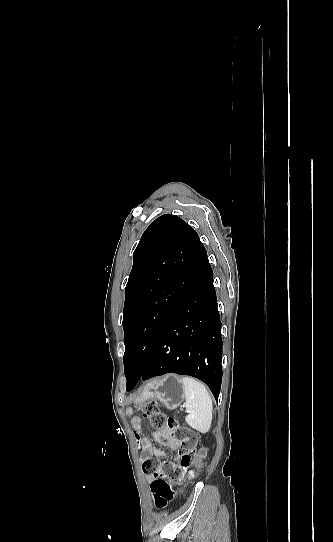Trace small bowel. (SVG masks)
Wrapping results in <instances>:
<instances>
[{
  "instance_id": "small-bowel-1",
  "label": "small bowel",
  "mask_w": 333,
  "mask_h": 542,
  "mask_svg": "<svg viewBox=\"0 0 333 542\" xmlns=\"http://www.w3.org/2000/svg\"><path fill=\"white\" fill-rule=\"evenodd\" d=\"M132 426H133V429H134V431H135V433L137 435L139 446L141 447V449L143 451H145V453H143L142 456H141L142 461L145 462V463L150 462L152 457H162V456L166 455V452L164 450L154 446L153 440L155 442L159 443L160 445L166 446V447H168V448H170L172 450H179L180 449V444L178 442L172 440L171 438H169L165 434H163L161 432H158V431H152L150 433V436L140 437V435L143 432L144 424H143V421L141 420V418H139V417H134L132 419ZM182 456H183V454L181 455V457ZM181 457L177 458V463L178 464L181 461ZM189 476L192 477L193 473L192 472L189 473ZM148 480H149V482H152V483L159 482V483H162V484H165V485L172 486V482L170 480H167V479H164V478H161V477H154L153 476V477H150Z\"/></svg>"
}]
</instances>
